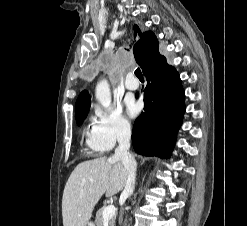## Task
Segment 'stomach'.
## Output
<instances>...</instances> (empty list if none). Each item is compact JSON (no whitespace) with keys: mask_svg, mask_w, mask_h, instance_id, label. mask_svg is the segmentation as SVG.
Returning <instances> with one entry per match:
<instances>
[{"mask_svg":"<svg viewBox=\"0 0 247 226\" xmlns=\"http://www.w3.org/2000/svg\"><path fill=\"white\" fill-rule=\"evenodd\" d=\"M88 226H93V224H89Z\"/></svg>","mask_w":247,"mask_h":226,"instance_id":"0dacf381","label":"stomach"}]
</instances>
